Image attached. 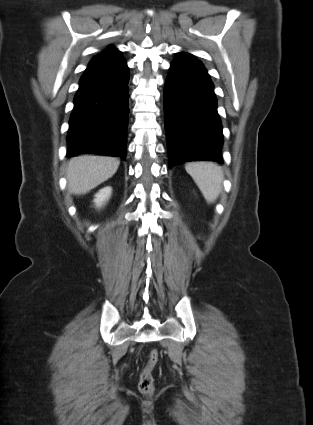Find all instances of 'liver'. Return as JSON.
Segmentation results:
<instances>
[{"label": "liver", "instance_id": "obj_1", "mask_svg": "<svg viewBox=\"0 0 313 425\" xmlns=\"http://www.w3.org/2000/svg\"><path fill=\"white\" fill-rule=\"evenodd\" d=\"M120 161L114 157L85 155L69 161L66 177L68 189L75 195H83L111 178Z\"/></svg>", "mask_w": 313, "mask_h": 425}]
</instances>
